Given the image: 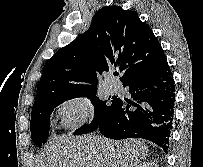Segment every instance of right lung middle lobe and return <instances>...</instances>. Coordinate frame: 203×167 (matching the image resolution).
<instances>
[{"instance_id":"obj_1","label":"right lung middle lobe","mask_w":203,"mask_h":167,"mask_svg":"<svg viewBox=\"0 0 203 167\" xmlns=\"http://www.w3.org/2000/svg\"><path fill=\"white\" fill-rule=\"evenodd\" d=\"M77 97H87L90 99L95 107V116L93 121L89 125H85L74 132V135L85 134L92 132L97 129L100 121L111 111L116 103V99L112 100L111 104H106V101H101L96 96V91L77 95V96H67V97H57L50 99L41 105L32 109L30 129L32 134V140L37 147H41L47 141V136L49 133V121L50 115L55 107L61 103L77 98Z\"/></svg>"}]
</instances>
